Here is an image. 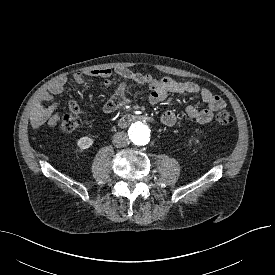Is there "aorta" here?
I'll return each mask as SVG.
<instances>
[{
	"label": "aorta",
	"instance_id": "762f6f07",
	"mask_svg": "<svg viewBox=\"0 0 275 275\" xmlns=\"http://www.w3.org/2000/svg\"><path fill=\"white\" fill-rule=\"evenodd\" d=\"M129 135L136 145H145L149 141L150 128L146 123L136 122L130 127Z\"/></svg>",
	"mask_w": 275,
	"mask_h": 275
}]
</instances>
